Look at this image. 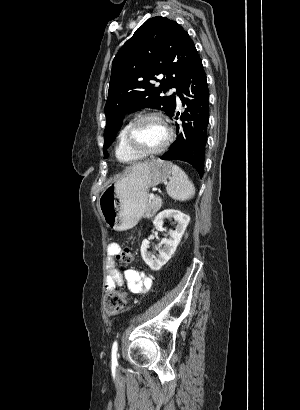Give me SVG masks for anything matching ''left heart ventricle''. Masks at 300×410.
I'll return each instance as SVG.
<instances>
[{"instance_id": "left-heart-ventricle-1", "label": "left heart ventricle", "mask_w": 300, "mask_h": 410, "mask_svg": "<svg viewBox=\"0 0 300 410\" xmlns=\"http://www.w3.org/2000/svg\"><path fill=\"white\" fill-rule=\"evenodd\" d=\"M167 131L163 124L156 119H148L138 125L134 138L143 150H155L166 140Z\"/></svg>"}]
</instances>
